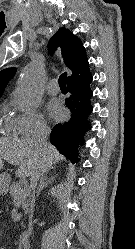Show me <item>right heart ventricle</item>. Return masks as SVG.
Here are the masks:
<instances>
[{
	"label": "right heart ventricle",
	"mask_w": 135,
	"mask_h": 249,
	"mask_svg": "<svg viewBox=\"0 0 135 249\" xmlns=\"http://www.w3.org/2000/svg\"><path fill=\"white\" fill-rule=\"evenodd\" d=\"M7 106L3 107V118L0 121V126L3 134L8 135V136H14L16 135V130L14 127L13 119L7 114Z\"/></svg>",
	"instance_id": "e07e8e85"
}]
</instances>
